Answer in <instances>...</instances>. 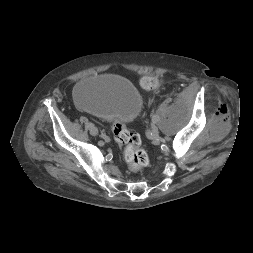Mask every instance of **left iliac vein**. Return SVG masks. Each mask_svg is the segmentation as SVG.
<instances>
[{"mask_svg":"<svg viewBox=\"0 0 253 253\" xmlns=\"http://www.w3.org/2000/svg\"><path fill=\"white\" fill-rule=\"evenodd\" d=\"M159 134V129L156 125L151 127V136L152 138L156 137Z\"/></svg>","mask_w":253,"mask_h":253,"instance_id":"1","label":"left iliac vein"}]
</instances>
